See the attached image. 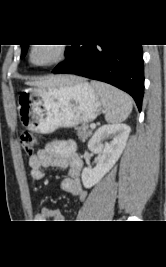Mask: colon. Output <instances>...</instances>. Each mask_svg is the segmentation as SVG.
Listing matches in <instances>:
<instances>
[{"label": "colon", "instance_id": "colon-1", "mask_svg": "<svg viewBox=\"0 0 166 267\" xmlns=\"http://www.w3.org/2000/svg\"><path fill=\"white\" fill-rule=\"evenodd\" d=\"M20 145L26 154L32 155L38 145V140L33 133L23 132L20 136Z\"/></svg>", "mask_w": 166, "mask_h": 267}]
</instances>
